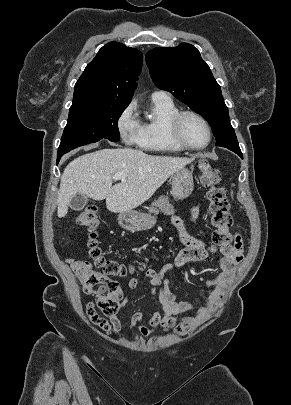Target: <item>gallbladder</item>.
<instances>
[{
    "mask_svg": "<svg viewBox=\"0 0 291 405\" xmlns=\"http://www.w3.org/2000/svg\"><path fill=\"white\" fill-rule=\"evenodd\" d=\"M87 202H88L87 196L83 194H77L70 200L69 206L72 210L79 211L86 206Z\"/></svg>",
    "mask_w": 291,
    "mask_h": 405,
    "instance_id": "gallbladder-1",
    "label": "gallbladder"
}]
</instances>
